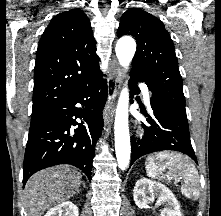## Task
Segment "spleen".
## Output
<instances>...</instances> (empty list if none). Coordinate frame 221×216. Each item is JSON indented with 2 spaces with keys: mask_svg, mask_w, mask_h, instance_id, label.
Returning a JSON list of instances; mask_svg holds the SVG:
<instances>
[{
  "mask_svg": "<svg viewBox=\"0 0 221 216\" xmlns=\"http://www.w3.org/2000/svg\"><path fill=\"white\" fill-rule=\"evenodd\" d=\"M145 168L147 175L153 179L183 178L182 194L188 198L199 196L198 171L188 157L173 152H160L147 157ZM166 169L168 171L164 174Z\"/></svg>",
  "mask_w": 221,
  "mask_h": 216,
  "instance_id": "3e777b00",
  "label": "spleen"
}]
</instances>
